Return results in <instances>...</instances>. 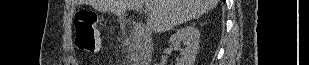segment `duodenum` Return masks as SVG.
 <instances>
[{
    "mask_svg": "<svg viewBox=\"0 0 309 65\" xmlns=\"http://www.w3.org/2000/svg\"><path fill=\"white\" fill-rule=\"evenodd\" d=\"M132 40L139 46L137 65H150L153 57V40L145 27L133 26L130 31Z\"/></svg>",
    "mask_w": 309,
    "mask_h": 65,
    "instance_id": "obj_1",
    "label": "duodenum"
}]
</instances>
